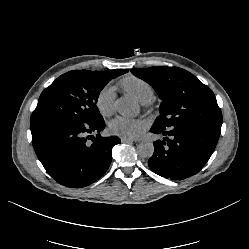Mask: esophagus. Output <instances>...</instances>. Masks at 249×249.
<instances>
[{
	"label": "esophagus",
	"instance_id": "34e87169",
	"mask_svg": "<svg viewBox=\"0 0 249 249\" xmlns=\"http://www.w3.org/2000/svg\"><path fill=\"white\" fill-rule=\"evenodd\" d=\"M121 142H122V143H132L133 140L130 139V138L122 137V138H121Z\"/></svg>",
	"mask_w": 249,
	"mask_h": 249
}]
</instances>
